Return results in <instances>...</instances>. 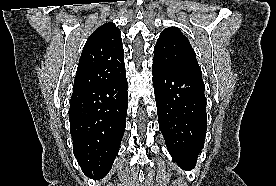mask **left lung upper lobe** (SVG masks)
<instances>
[{
    "instance_id": "1",
    "label": "left lung upper lobe",
    "mask_w": 276,
    "mask_h": 186,
    "mask_svg": "<svg viewBox=\"0 0 276 186\" xmlns=\"http://www.w3.org/2000/svg\"><path fill=\"white\" fill-rule=\"evenodd\" d=\"M153 63L202 78L195 52L179 28H166L154 48Z\"/></svg>"
}]
</instances>
